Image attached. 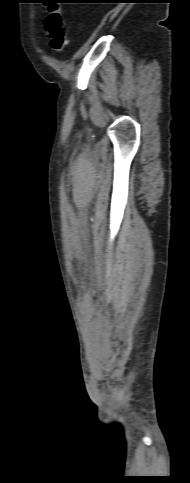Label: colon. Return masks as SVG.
Instances as JSON below:
<instances>
[{"mask_svg":"<svg viewBox=\"0 0 190 483\" xmlns=\"http://www.w3.org/2000/svg\"><path fill=\"white\" fill-rule=\"evenodd\" d=\"M45 29L49 37V46L55 53L64 51L67 45L64 17L60 9H52L46 19Z\"/></svg>","mask_w":190,"mask_h":483,"instance_id":"1","label":"colon"}]
</instances>
